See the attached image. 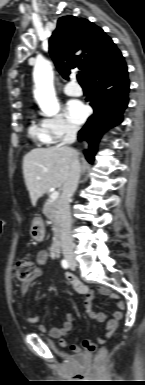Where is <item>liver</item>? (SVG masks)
Instances as JSON below:
<instances>
[{
    "label": "liver",
    "mask_w": 145,
    "mask_h": 385,
    "mask_svg": "<svg viewBox=\"0 0 145 385\" xmlns=\"http://www.w3.org/2000/svg\"><path fill=\"white\" fill-rule=\"evenodd\" d=\"M74 158L79 159L75 150L60 145L35 148L24 156L23 175L32 205L50 188L63 186Z\"/></svg>",
    "instance_id": "obj_1"
}]
</instances>
